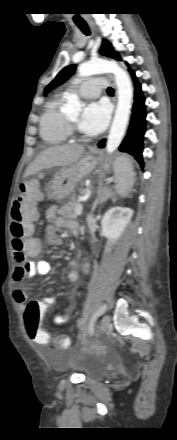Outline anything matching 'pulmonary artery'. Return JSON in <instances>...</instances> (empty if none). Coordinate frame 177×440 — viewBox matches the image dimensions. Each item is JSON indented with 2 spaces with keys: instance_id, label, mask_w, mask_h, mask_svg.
<instances>
[{
  "instance_id": "1",
  "label": "pulmonary artery",
  "mask_w": 177,
  "mask_h": 440,
  "mask_svg": "<svg viewBox=\"0 0 177 440\" xmlns=\"http://www.w3.org/2000/svg\"><path fill=\"white\" fill-rule=\"evenodd\" d=\"M106 85L103 78L94 76L83 81L77 90L82 97L92 99L98 97Z\"/></svg>"
}]
</instances>
